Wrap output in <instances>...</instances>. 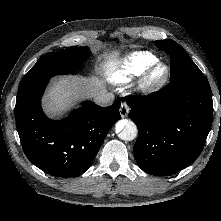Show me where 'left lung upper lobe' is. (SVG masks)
I'll use <instances>...</instances> for the list:
<instances>
[{
  "label": "left lung upper lobe",
  "instance_id": "5c2ea615",
  "mask_svg": "<svg viewBox=\"0 0 221 221\" xmlns=\"http://www.w3.org/2000/svg\"><path fill=\"white\" fill-rule=\"evenodd\" d=\"M154 44L171 57V81L186 76H203L188 53L175 41L158 40Z\"/></svg>",
  "mask_w": 221,
  "mask_h": 221
}]
</instances>
